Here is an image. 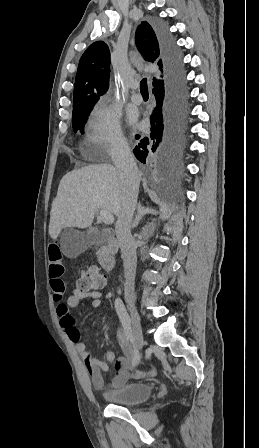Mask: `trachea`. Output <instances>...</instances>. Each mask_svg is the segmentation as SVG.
<instances>
[{
	"label": "trachea",
	"instance_id": "obj_1",
	"mask_svg": "<svg viewBox=\"0 0 259 448\" xmlns=\"http://www.w3.org/2000/svg\"><path fill=\"white\" fill-rule=\"evenodd\" d=\"M140 92L142 95H148V85H147V79L143 78L140 81Z\"/></svg>",
	"mask_w": 259,
	"mask_h": 448
}]
</instances>
